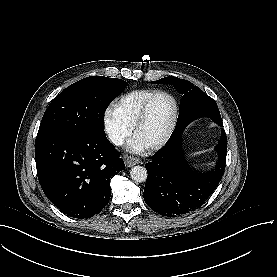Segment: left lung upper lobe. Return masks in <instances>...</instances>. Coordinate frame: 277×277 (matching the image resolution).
Returning a JSON list of instances; mask_svg holds the SVG:
<instances>
[{
    "instance_id": "1",
    "label": "left lung upper lobe",
    "mask_w": 277,
    "mask_h": 277,
    "mask_svg": "<svg viewBox=\"0 0 277 277\" xmlns=\"http://www.w3.org/2000/svg\"><path fill=\"white\" fill-rule=\"evenodd\" d=\"M152 83L172 84L183 95L180 101L177 123L169 141L181 135L188 124L200 117H210L217 124L222 125L221 115L216 102L191 82L169 76L152 81Z\"/></svg>"
}]
</instances>
